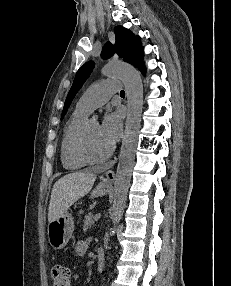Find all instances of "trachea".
I'll return each mask as SVG.
<instances>
[{
	"mask_svg": "<svg viewBox=\"0 0 231 286\" xmlns=\"http://www.w3.org/2000/svg\"><path fill=\"white\" fill-rule=\"evenodd\" d=\"M120 95H125V92L123 90L120 91Z\"/></svg>",
	"mask_w": 231,
	"mask_h": 286,
	"instance_id": "trachea-1",
	"label": "trachea"
}]
</instances>
